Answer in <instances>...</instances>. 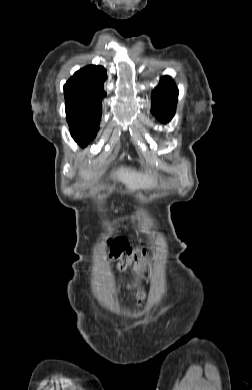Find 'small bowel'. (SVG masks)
<instances>
[{
    "label": "small bowel",
    "instance_id": "1",
    "mask_svg": "<svg viewBox=\"0 0 252 390\" xmlns=\"http://www.w3.org/2000/svg\"><path fill=\"white\" fill-rule=\"evenodd\" d=\"M124 286H125V288H127V289H132L133 287L136 286V283L130 282V281H124Z\"/></svg>",
    "mask_w": 252,
    "mask_h": 390
}]
</instances>
